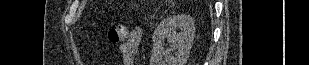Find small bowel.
I'll return each instance as SVG.
<instances>
[{
    "instance_id": "obj_1",
    "label": "small bowel",
    "mask_w": 309,
    "mask_h": 65,
    "mask_svg": "<svg viewBox=\"0 0 309 65\" xmlns=\"http://www.w3.org/2000/svg\"><path fill=\"white\" fill-rule=\"evenodd\" d=\"M142 39V30L136 28L128 31L119 45V53L124 65H137V50Z\"/></svg>"
}]
</instances>
